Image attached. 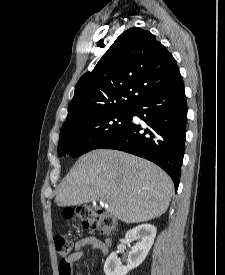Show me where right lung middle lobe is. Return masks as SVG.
<instances>
[{
  "label": "right lung middle lobe",
  "mask_w": 225,
  "mask_h": 275,
  "mask_svg": "<svg viewBox=\"0 0 225 275\" xmlns=\"http://www.w3.org/2000/svg\"><path fill=\"white\" fill-rule=\"evenodd\" d=\"M131 110H113L79 119L61 128L60 156L78 157L97 149L129 122Z\"/></svg>",
  "instance_id": "obj_1"
}]
</instances>
